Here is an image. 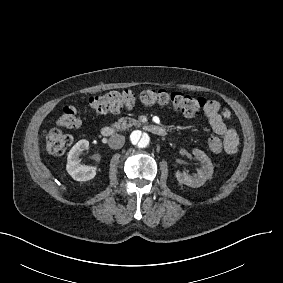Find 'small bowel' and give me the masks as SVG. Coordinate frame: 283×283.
<instances>
[{
    "instance_id": "1",
    "label": "small bowel",
    "mask_w": 283,
    "mask_h": 283,
    "mask_svg": "<svg viewBox=\"0 0 283 283\" xmlns=\"http://www.w3.org/2000/svg\"><path fill=\"white\" fill-rule=\"evenodd\" d=\"M204 113L213 131L226 138L228 147L225 153L234 155L238 151L239 139L236 131L228 121L229 115L221 111L220 102L209 100L204 107Z\"/></svg>"
}]
</instances>
